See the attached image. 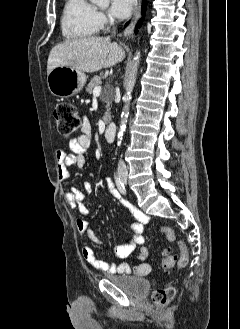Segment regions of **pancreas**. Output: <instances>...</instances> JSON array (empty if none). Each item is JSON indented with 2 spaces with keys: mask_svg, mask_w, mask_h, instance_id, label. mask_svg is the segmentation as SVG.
Segmentation results:
<instances>
[{
  "mask_svg": "<svg viewBox=\"0 0 240 329\" xmlns=\"http://www.w3.org/2000/svg\"><path fill=\"white\" fill-rule=\"evenodd\" d=\"M101 83H102V81H101V77H100V76H94V77L91 79V81L89 82V84L87 85V87H86V92L89 93V94H91L92 91H93V89H94L95 87L99 86ZM101 100H102L103 102L107 103V106H106V107L108 108L109 105H110L111 99L108 98V97L106 96L105 93H102V94H101ZM103 119H104V121H105L106 123L109 121V119H110V113H109L108 110H107V112L105 113Z\"/></svg>",
  "mask_w": 240,
  "mask_h": 329,
  "instance_id": "1",
  "label": "pancreas"
}]
</instances>
